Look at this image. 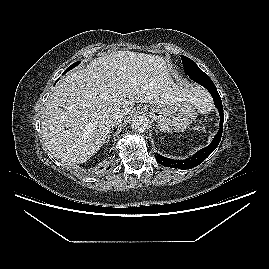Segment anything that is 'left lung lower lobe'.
<instances>
[{"label": "left lung lower lobe", "instance_id": "0a47b994", "mask_svg": "<svg viewBox=\"0 0 269 269\" xmlns=\"http://www.w3.org/2000/svg\"><path fill=\"white\" fill-rule=\"evenodd\" d=\"M189 77L195 82L204 86L212 95L214 104L216 108L218 109L219 115H220V123H219L220 128L209 146L199 150L192 157L188 159L174 160V159H169V158H166L157 154L156 160L159 164L163 166L179 168V169H191L198 166L216 149L222 136L224 114H223L222 101H221V98L219 96L216 86L204 72L196 73V74L190 75Z\"/></svg>", "mask_w": 269, "mask_h": 269}]
</instances>
